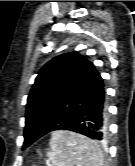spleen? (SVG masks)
I'll use <instances>...</instances> for the list:
<instances>
[{
  "instance_id": "spleen-1",
  "label": "spleen",
  "mask_w": 135,
  "mask_h": 166,
  "mask_svg": "<svg viewBox=\"0 0 135 166\" xmlns=\"http://www.w3.org/2000/svg\"><path fill=\"white\" fill-rule=\"evenodd\" d=\"M49 145L47 156L54 166H103L99 144L81 134L54 131Z\"/></svg>"
}]
</instances>
